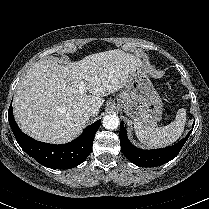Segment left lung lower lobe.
Wrapping results in <instances>:
<instances>
[{
	"label": "left lung lower lobe",
	"mask_w": 209,
	"mask_h": 209,
	"mask_svg": "<svg viewBox=\"0 0 209 209\" xmlns=\"http://www.w3.org/2000/svg\"><path fill=\"white\" fill-rule=\"evenodd\" d=\"M195 124V123H194ZM193 124V127H194ZM193 130V129H192ZM180 142L166 148L155 150H142L134 147L128 140L126 130L120 123V143L123 154L139 167H156L174 159L187 141L190 133Z\"/></svg>",
	"instance_id": "left-lung-lower-lobe-1"
}]
</instances>
